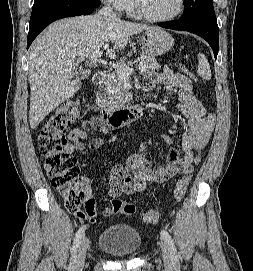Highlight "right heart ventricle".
Wrapping results in <instances>:
<instances>
[{
	"instance_id": "right-heart-ventricle-1",
	"label": "right heart ventricle",
	"mask_w": 253,
	"mask_h": 271,
	"mask_svg": "<svg viewBox=\"0 0 253 271\" xmlns=\"http://www.w3.org/2000/svg\"><path fill=\"white\" fill-rule=\"evenodd\" d=\"M125 9L127 10L128 13L134 14L135 8L133 0H128Z\"/></svg>"
}]
</instances>
